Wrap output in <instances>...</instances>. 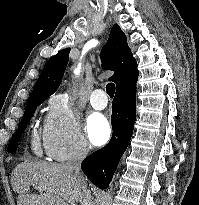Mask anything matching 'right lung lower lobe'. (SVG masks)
Returning a JSON list of instances; mask_svg holds the SVG:
<instances>
[{"instance_id": "obj_1", "label": "right lung lower lobe", "mask_w": 199, "mask_h": 205, "mask_svg": "<svg viewBox=\"0 0 199 205\" xmlns=\"http://www.w3.org/2000/svg\"><path fill=\"white\" fill-rule=\"evenodd\" d=\"M137 79L138 75L117 88L112 102L113 136L110 142L81 163V169L85 175L101 189L108 188L133 133L136 119Z\"/></svg>"}]
</instances>
